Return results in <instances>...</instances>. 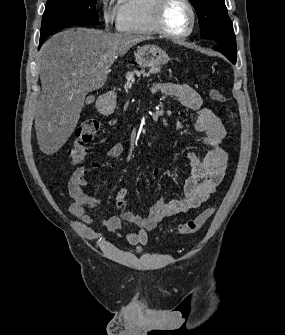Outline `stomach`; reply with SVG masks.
Listing matches in <instances>:
<instances>
[{
  "label": "stomach",
  "mask_w": 285,
  "mask_h": 335,
  "mask_svg": "<svg viewBox=\"0 0 285 335\" xmlns=\"http://www.w3.org/2000/svg\"><path fill=\"white\" fill-rule=\"evenodd\" d=\"M170 58L166 54L165 50L159 48V46H142L138 48L135 54V62L141 66V68H157V66H163L168 64ZM116 106V100L110 94H103L99 100V108L103 112L108 110H114Z\"/></svg>",
  "instance_id": "obj_1"
}]
</instances>
